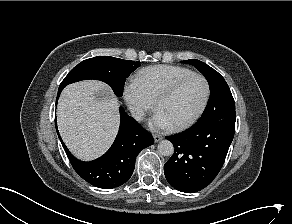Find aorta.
I'll return each instance as SVG.
<instances>
[{"label": "aorta", "mask_w": 292, "mask_h": 224, "mask_svg": "<svg viewBox=\"0 0 292 224\" xmlns=\"http://www.w3.org/2000/svg\"><path fill=\"white\" fill-rule=\"evenodd\" d=\"M157 149L158 153L162 156H171L174 153V146L168 140H162L159 142Z\"/></svg>", "instance_id": "obj_1"}]
</instances>
